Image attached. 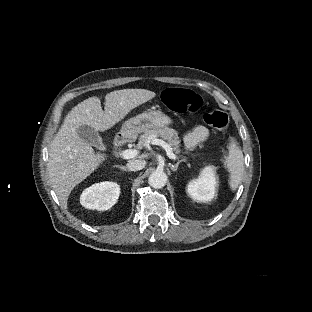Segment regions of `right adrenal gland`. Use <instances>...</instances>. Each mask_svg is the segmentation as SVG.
Masks as SVG:
<instances>
[{
  "label": "right adrenal gland",
  "instance_id": "2a0ac1e0",
  "mask_svg": "<svg viewBox=\"0 0 312 312\" xmlns=\"http://www.w3.org/2000/svg\"><path fill=\"white\" fill-rule=\"evenodd\" d=\"M119 169H121L122 171H124V172H127V174H128V172H129V170L126 168V167H118Z\"/></svg>",
  "mask_w": 312,
  "mask_h": 312
}]
</instances>
